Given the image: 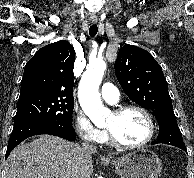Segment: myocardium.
Listing matches in <instances>:
<instances>
[{
  "mask_svg": "<svg viewBox=\"0 0 194 178\" xmlns=\"http://www.w3.org/2000/svg\"><path fill=\"white\" fill-rule=\"evenodd\" d=\"M130 110H136L144 115V117L146 118L148 125H149V132H148L147 137L143 141H141L140 143L126 144V143H123L120 140H118L117 137L115 136V134L110 129L106 128L110 142L118 148H122V149L141 148V147H144L145 145H147L148 143H150L155 136V132H156L155 121H154L151 113L147 109H145L144 107L139 106V105H135V104L123 105V106H119L116 109H114L113 113L115 115H121V114H124L125 112L130 111Z\"/></svg>",
  "mask_w": 194,
  "mask_h": 178,
  "instance_id": "obj_1",
  "label": "myocardium"
}]
</instances>
